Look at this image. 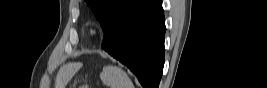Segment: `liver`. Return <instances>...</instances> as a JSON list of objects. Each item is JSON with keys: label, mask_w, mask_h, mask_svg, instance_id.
<instances>
[{"label": "liver", "mask_w": 267, "mask_h": 88, "mask_svg": "<svg viewBox=\"0 0 267 88\" xmlns=\"http://www.w3.org/2000/svg\"><path fill=\"white\" fill-rule=\"evenodd\" d=\"M77 67H78V64L76 63H68L67 65L63 66L59 70L56 76V80H55L56 88H65L68 81L72 78V76L76 72Z\"/></svg>", "instance_id": "1"}]
</instances>
